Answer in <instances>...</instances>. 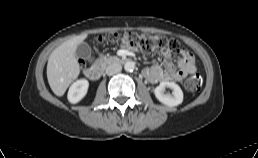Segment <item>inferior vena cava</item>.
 Returning <instances> with one entry per match:
<instances>
[{"instance_id": "inferior-vena-cava-1", "label": "inferior vena cava", "mask_w": 258, "mask_h": 158, "mask_svg": "<svg viewBox=\"0 0 258 158\" xmlns=\"http://www.w3.org/2000/svg\"><path fill=\"white\" fill-rule=\"evenodd\" d=\"M122 69L121 65L119 63H112L106 68V74L111 76L113 74H116L120 72Z\"/></svg>"}]
</instances>
